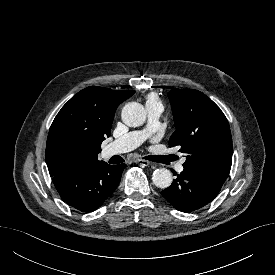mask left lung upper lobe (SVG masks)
Wrapping results in <instances>:
<instances>
[{
    "mask_svg": "<svg viewBox=\"0 0 275 275\" xmlns=\"http://www.w3.org/2000/svg\"><path fill=\"white\" fill-rule=\"evenodd\" d=\"M176 131L169 146L186 154L183 166L216 172L228 177L232 164L229 123L220 108L205 94L193 89L168 93Z\"/></svg>",
    "mask_w": 275,
    "mask_h": 275,
    "instance_id": "left-lung-upper-lobe-1",
    "label": "left lung upper lobe"
}]
</instances>
